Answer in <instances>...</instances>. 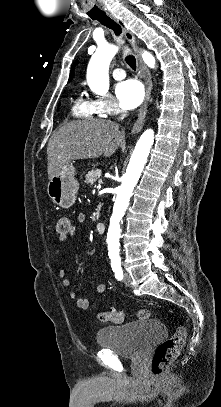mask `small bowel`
Wrapping results in <instances>:
<instances>
[{
	"label": "small bowel",
	"mask_w": 221,
	"mask_h": 407,
	"mask_svg": "<svg viewBox=\"0 0 221 407\" xmlns=\"http://www.w3.org/2000/svg\"><path fill=\"white\" fill-rule=\"evenodd\" d=\"M85 222H86V217H85V215H84V214H80V215L77 217V223H78L79 225H84ZM74 232H75V229H72V230L70 231V233H69L67 236H59L58 241H59V242L66 241L71 235L74 234ZM59 252H60V250L57 249L56 253L59 254ZM59 277L61 278V284H62V286H63L64 288H70L71 282H70L69 279H67L66 273H65V271H64L63 269H61V270L59 271ZM106 289H107V286H106L105 283H99V284L97 285V287H96V292H97V294L100 295V294L104 293V292L106 291ZM68 295H69V297H70L71 299H75V300H76V306H77L78 309H80V310H86V309H88V307H89V302H88L87 299L78 298V297H77V293H76L75 291H70Z\"/></svg>",
	"instance_id": "1"
}]
</instances>
